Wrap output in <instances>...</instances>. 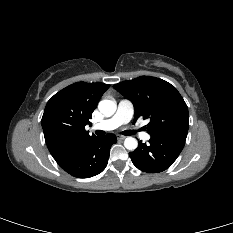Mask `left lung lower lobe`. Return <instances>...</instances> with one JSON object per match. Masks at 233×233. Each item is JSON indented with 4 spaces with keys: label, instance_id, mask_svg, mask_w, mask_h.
<instances>
[{
    "label": "left lung lower lobe",
    "instance_id": "1",
    "mask_svg": "<svg viewBox=\"0 0 233 233\" xmlns=\"http://www.w3.org/2000/svg\"><path fill=\"white\" fill-rule=\"evenodd\" d=\"M186 141V136L173 135L156 137L149 144L139 142L138 148L130 152L133 164L147 173H159L166 170L179 156Z\"/></svg>",
    "mask_w": 233,
    "mask_h": 233
}]
</instances>
